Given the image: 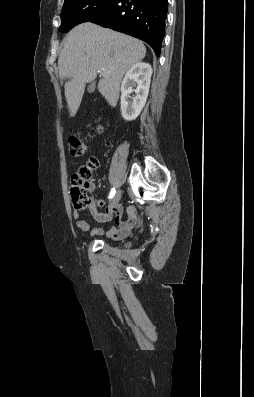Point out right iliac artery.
Listing matches in <instances>:
<instances>
[{
	"label": "right iliac artery",
	"mask_w": 254,
	"mask_h": 397,
	"mask_svg": "<svg viewBox=\"0 0 254 397\" xmlns=\"http://www.w3.org/2000/svg\"><path fill=\"white\" fill-rule=\"evenodd\" d=\"M115 192H116L115 189L112 188V190L110 191V194H109L110 199L115 195Z\"/></svg>",
	"instance_id": "1"
}]
</instances>
